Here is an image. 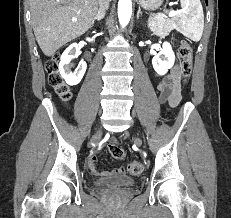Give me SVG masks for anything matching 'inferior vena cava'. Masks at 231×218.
I'll list each match as a JSON object with an SVG mask.
<instances>
[{
  "instance_id": "602c4592",
  "label": "inferior vena cava",
  "mask_w": 231,
  "mask_h": 218,
  "mask_svg": "<svg viewBox=\"0 0 231 218\" xmlns=\"http://www.w3.org/2000/svg\"><path fill=\"white\" fill-rule=\"evenodd\" d=\"M109 2L110 0H99L98 1L99 9L97 12V16L105 15L106 10L109 8Z\"/></svg>"
}]
</instances>
